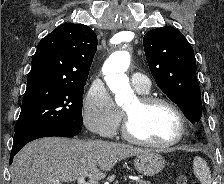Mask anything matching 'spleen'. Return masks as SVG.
Here are the masks:
<instances>
[{"mask_svg":"<svg viewBox=\"0 0 224 184\" xmlns=\"http://www.w3.org/2000/svg\"><path fill=\"white\" fill-rule=\"evenodd\" d=\"M194 175L198 178L201 184H211V172L206 163L201 157L196 156L193 161Z\"/></svg>","mask_w":224,"mask_h":184,"instance_id":"obj_1","label":"spleen"}]
</instances>
